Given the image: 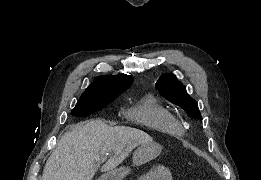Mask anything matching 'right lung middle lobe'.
Returning a JSON list of instances; mask_svg holds the SVG:
<instances>
[{"instance_id":"1","label":"right lung middle lobe","mask_w":261,"mask_h":180,"mask_svg":"<svg viewBox=\"0 0 261 180\" xmlns=\"http://www.w3.org/2000/svg\"><path fill=\"white\" fill-rule=\"evenodd\" d=\"M118 96L87 97L81 96L79 102L73 109V115L86 116L101 110Z\"/></svg>"}]
</instances>
